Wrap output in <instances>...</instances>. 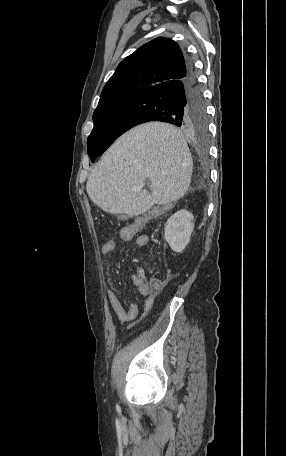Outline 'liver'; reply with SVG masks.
Wrapping results in <instances>:
<instances>
[{"mask_svg": "<svg viewBox=\"0 0 286 456\" xmlns=\"http://www.w3.org/2000/svg\"><path fill=\"white\" fill-rule=\"evenodd\" d=\"M192 170L181 131L170 124L150 122L129 130L112 144L90 174L86 190L103 211L133 217L155 204H171L183 197ZM146 179L151 194L143 189Z\"/></svg>", "mask_w": 286, "mask_h": 456, "instance_id": "obj_1", "label": "liver"}]
</instances>
